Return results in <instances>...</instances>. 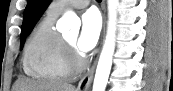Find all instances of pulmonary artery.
<instances>
[{
    "label": "pulmonary artery",
    "instance_id": "e3ab8cb5",
    "mask_svg": "<svg viewBox=\"0 0 173 91\" xmlns=\"http://www.w3.org/2000/svg\"><path fill=\"white\" fill-rule=\"evenodd\" d=\"M89 2V0L54 1L50 6V12L59 15L68 8H84L89 4Z\"/></svg>",
    "mask_w": 173,
    "mask_h": 91
}]
</instances>
